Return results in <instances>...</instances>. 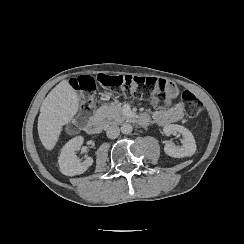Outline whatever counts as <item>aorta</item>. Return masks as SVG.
<instances>
[{
	"mask_svg": "<svg viewBox=\"0 0 244 244\" xmlns=\"http://www.w3.org/2000/svg\"><path fill=\"white\" fill-rule=\"evenodd\" d=\"M132 126H131V124H129V123H124L122 126H121V132L123 133V134H130L131 132H132Z\"/></svg>",
	"mask_w": 244,
	"mask_h": 244,
	"instance_id": "1",
	"label": "aorta"
}]
</instances>
